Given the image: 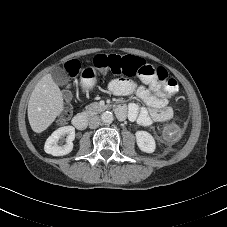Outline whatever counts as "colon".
Returning <instances> with one entry per match:
<instances>
[{
    "instance_id": "5ec220e1",
    "label": "colon",
    "mask_w": 227,
    "mask_h": 227,
    "mask_svg": "<svg viewBox=\"0 0 227 227\" xmlns=\"http://www.w3.org/2000/svg\"><path fill=\"white\" fill-rule=\"evenodd\" d=\"M93 63L96 68L102 73H112L116 75L126 76H146L164 83V88L169 94H174L178 91V83L175 79L169 78L168 73L163 67H154L146 64L143 60L135 56L121 57L118 55H103L98 54L94 57ZM80 68L78 61H71L66 67L67 74L73 77L77 74ZM71 115L69 110L63 112L61 121H66ZM184 130V125L181 126V131Z\"/></svg>"
}]
</instances>
